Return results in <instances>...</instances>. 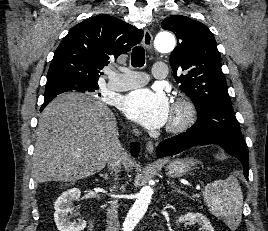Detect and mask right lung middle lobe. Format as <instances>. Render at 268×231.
Returning <instances> with one entry per match:
<instances>
[{"instance_id":"obj_1","label":"right lung middle lobe","mask_w":268,"mask_h":231,"mask_svg":"<svg viewBox=\"0 0 268 231\" xmlns=\"http://www.w3.org/2000/svg\"><path fill=\"white\" fill-rule=\"evenodd\" d=\"M99 89L98 85H84L72 82H59L45 87V98L53 99L64 92L94 93Z\"/></svg>"}]
</instances>
